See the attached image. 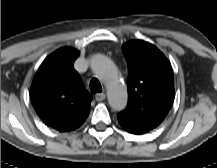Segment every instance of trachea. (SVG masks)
I'll return each mask as SVG.
<instances>
[{"label":"trachea","instance_id":"3493384b","mask_svg":"<svg viewBox=\"0 0 217 168\" xmlns=\"http://www.w3.org/2000/svg\"><path fill=\"white\" fill-rule=\"evenodd\" d=\"M90 90H91V93H100V92H102L101 84H100V82H99V80L97 78H93L90 81Z\"/></svg>","mask_w":217,"mask_h":168}]
</instances>
